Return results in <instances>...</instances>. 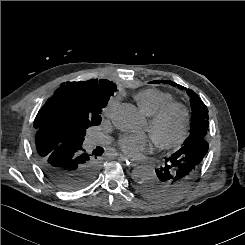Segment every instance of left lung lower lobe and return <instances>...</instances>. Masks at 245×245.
I'll return each instance as SVG.
<instances>
[{"mask_svg":"<svg viewBox=\"0 0 245 245\" xmlns=\"http://www.w3.org/2000/svg\"><path fill=\"white\" fill-rule=\"evenodd\" d=\"M205 139L184 144L156 169V176L142 183L139 191L145 197L165 202L179 195L196 176L208 151Z\"/></svg>","mask_w":245,"mask_h":245,"instance_id":"0a47b994","label":"left lung lower lobe"}]
</instances>
